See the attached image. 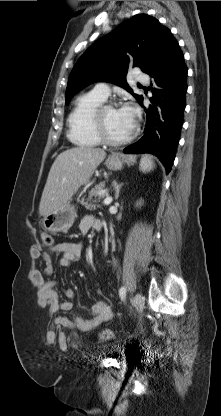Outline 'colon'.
I'll use <instances>...</instances> for the list:
<instances>
[{"mask_svg": "<svg viewBox=\"0 0 221 416\" xmlns=\"http://www.w3.org/2000/svg\"><path fill=\"white\" fill-rule=\"evenodd\" d=\"M42 243L46 247H51L53 245V237L50 233H43L42 234ZM99 338L101 340H112L114 338V333L111 330L105 329L99 333Z\"/></svg>", "mask_w": 221, "mask_h": 416, "instance_id": "obj_1", "label": "colon"}]
</instances>
